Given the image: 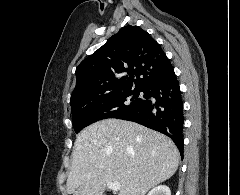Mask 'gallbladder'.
I'll return each mask as SVG.
<instances>
[{
    "instance_id": "gallbladder-1",
    "label": "gallbladder",
    "mask_w": 240,
    "mask_h": 195,
    "mask_svg": "<svg viewBox=\"0 0 240 195\" xmlns=\"http://www.w3.org/2000/svg\"><path fill=\"white\" fill-rule=\"evenodd\" d=\"M104 195H105V193H104ZM106 195H112V193L111 192H106Z\"/></svg>"
}]
</instances>
